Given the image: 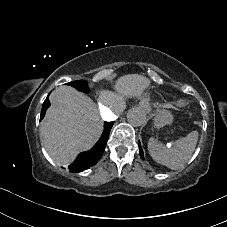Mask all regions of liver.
<instances>
[{
    "instance_id": "6515ba94",
    "label": "liver",
    "mask_w": 227,
    "mask_h": 227,
    "mask_svg": "<svg viewBox=\"0 0 227 227\" xmlns=\"http://www.w3.org/2000/svg\"><path fill=\"white\" fill-rule=\"evenodd\" d=\"M146 85L148 80L137 75L123 77L117 82V88L127 94H139L140 88ZM111 98L113 95L105 92L100 101L112 105ZM50 100L53 106L40 125V134L53 161L58 165L68 164L98 139L101 121L94 103L71 87H58Z\"/></svg>"
}]
</instances>
